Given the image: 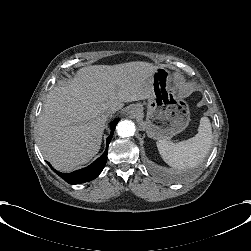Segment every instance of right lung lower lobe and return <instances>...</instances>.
I'll return each instance as SVG.
<instances>
[{
  "instance_id": "1",
  "label": "right lung lower lobe",
  "mask_w": 251,
  "mask_h": 251,
  "mask_svg": "<svg viewBox=\"0 0 251 251\" xmlns=\"http://www.w3.org/2000/svg\"><path fill=\"white\" fill-rule=\"evenodd\" d=\"M118 121L119 119H116L115 121L111 123V133L109 137L107 138L106 150L101 157H99L96 161H94L88 167L74 171L72 173H61L58 171H55V172L69 184L85 183V182L95 179L101 173V171L103 170L106 164L108 145L111 141L115 126L117 125ZM48 165L51 167L49 163Z\"/></svg>"
}]
</instances>
